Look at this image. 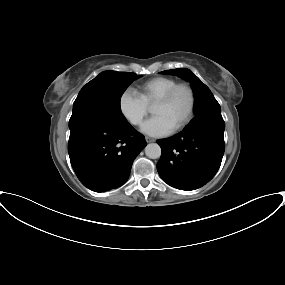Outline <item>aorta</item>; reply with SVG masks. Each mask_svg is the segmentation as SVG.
<instances>
[{
    "label": "aorta",
    "instance_id": "1",
    "mask_svg": "<svg viewBox=\"0 0 285 285\" xmlns=\"http://www.w3.org/2000/svg\"><path fill=\"white\" fill-rule=\"evenodd\" d=\"M145 154L150 159H157L161 156V148L157 143H150L145 147Z\"/></svg>",
    "mask_w": 285,
    "mask_h": 285
}]
</instances>
